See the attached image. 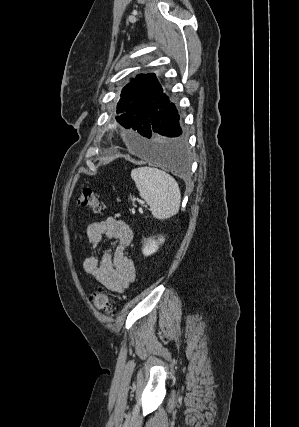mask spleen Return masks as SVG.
Masks as SVG:
<instances>
[{"label":"spleen","mask_w":299,"mask_h":427,"mask_svg":"<svg viewBox=\"0 0 299 427\" xmlns=\"http://www.w3.org/2000/svg\"><path fill=\"white\" fill-rule=\"evenodd\" d=\"M131 178L140 197L150 206L154 218L164 220L177 214L181 193L171 175L158 168L145 166L133 169Z\"/></svg>","instance_id":"3e777b00"}]
</instances>
